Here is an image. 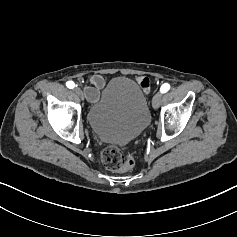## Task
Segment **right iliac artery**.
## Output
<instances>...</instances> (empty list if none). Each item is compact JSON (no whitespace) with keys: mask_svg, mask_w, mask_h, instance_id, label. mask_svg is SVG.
Here are the masks:
<instances>
[{"mask_svg":"<svg viewBox=\"0 0 237 237\" xmlns=\"http://www.w3.org/2000/svg\"><path fill=\"white\" fill-rule=\"evenodd\" d=\"M66 86L69 88V89H73L75 87V83L73 81H68L66 83Z\"/></svg>","mask_w":237,"mask_h":237,"instance_id":"1","label":"right iliac artery"}]
</instances>
